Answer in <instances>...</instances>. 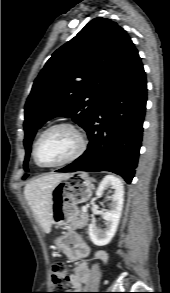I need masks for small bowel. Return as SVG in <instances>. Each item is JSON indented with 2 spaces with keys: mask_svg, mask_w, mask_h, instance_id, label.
I'll list each match as a JSON object with an SVG mask.
<instances>
[{
  "mask_svg": "<svg viewBox=\"0 0 170 293\" xmlns=\"http://www.w3.org/2000/svg\"><path fill=\"white\" fill-rule=\"evenodd\" d=\"M63 239L66 257L70 260H80L69 278L70 288L74 291L80 290L87 282L91 273L89 265L85 260L89 255V250L84 237L76 232L66 233ZM94 259L105 262L107 255L104 252H97L94 254Z\"/></svg>",
  "mask_w": 170,
  "mask_h": 293,
  "instance_id": "small-bowel-1",
  "label": "small bowel"
}]
</instances>
